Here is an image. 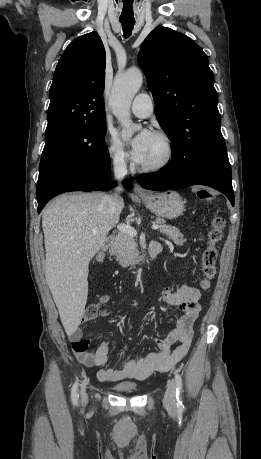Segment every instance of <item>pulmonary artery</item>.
Listing matches in <instances>:
<instances>
[{"label":"pulmonary artery","mask_w":261,"mask_h":459,"mask_svg":"<svg viewBox=\"0 0 261 459\" xmlns=\"http://www.w3.org/2000/svg\"><path fill=\"white\" fill-rule=\"evenodd\" d=\"M132 112L141 118H146L153 113L152 98L146 93L138 94L131 105Z\"/></svg>","instance_id":"e3ab8cb5"}]
</instances>
